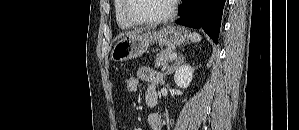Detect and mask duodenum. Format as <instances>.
<instances>
[{
    "label": "duodenum",
    "mask_w": 299,
    "mask_h": 130,
    "mask_svg": "<svg viewBox=\"0 0 299 130\" xmlns=\"http://www.w3.org/2000/svg\"><path fill=\"white\" fill-rule=\"evenodd\" d=\"M147 105L150 106V107H154L157 103V95L156 94H150L148 97H147Z\"/></svg>",
    "instance_id": "duodenum-1"
}]
</instances>
